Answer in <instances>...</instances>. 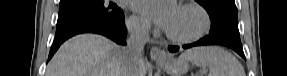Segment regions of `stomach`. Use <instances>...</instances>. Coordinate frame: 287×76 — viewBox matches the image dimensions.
Segmentation results:
<instances>
[{"mask_svg": "<svg viewBox=\"0 0 287 76\" xmlns=\"http://www.w3.org/2000/svg\"><path fill=\"white\" fill-rule=\"evenodd\" d=\"M169 76H183L189 68L188 62L180 58L169 57L165 61H156Z\"/></svg>", "mask_w": 287, "mask_h": 76, "instance_id": "1", "label": "stomach"}]
</instances>
